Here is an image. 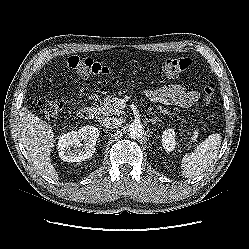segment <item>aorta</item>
Masks as SVG:
<instances>
[{"mask_svg":"<svg viewBox=\"0 0 249 249\" xmlns=\"http://www.w3.org/2000/svg\"><path fill=\"white\" fill-rule=\"evenodd\" d=\"M128 135L131 139H141L144 136V128L141 123L134 122L129 125Z\"/></svg>","mask_w":249,"mask_h":249,"instance_id":"1","label":"aorta"}]
</instances>
